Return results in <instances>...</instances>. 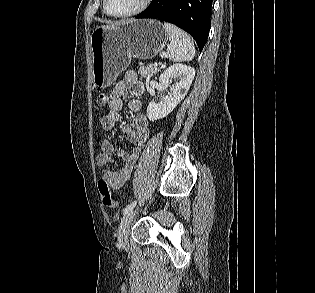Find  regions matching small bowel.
Here are the masks:
<instances>
[{
    "label": "small bowel",
    "mask_w": 315,
    "mask_h": 293,
    "mask_svg": "<svg viewBox=\"0 0 315 293\" xmlns=\"http://www.w3.org/2000/svg\"><path fill=\"white\" fill-rule=\"evenodd\" d=\"M132 96L129 102V108L136 112L131 124L124 125L122 132L126 139L134 146L131 152L123 149L117 150L118 157L122 164L117 169H110L108 166L113 162L112 155L115 152L113 143L105 139L101 143V152L96 156L95 162L99 167H103L102 180L106 181L109 187L117 190L124 186L130 178L134 164L140 155L141 148L148 139L150 130L147 118L138 113L142 103L140 98L145 92L144 84L139 81L134 71H127L120 82L108 97L109 111L101 117V125L107 132L114 128V125L121 119V110L123 108V96L126 93Z\"/></svg>",
    "instance_id": "1"
}]
</instances>
